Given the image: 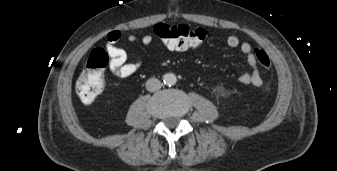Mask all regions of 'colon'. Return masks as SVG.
<instances>
[{
  "label": "colon",
  "mask_w": 337,
  "mask_h": 171,
  "mask_svg": "<svg viewBox=\"0 0 337 171\" xmlns=\"http://www.w3.org/2000/svg\"><path fill=\"white\" fill-rule=\"evenodd\" d=\"M155 35L164 43L170 53H179L182 49L197 47L202 44L207 31L202 27H191L185 24L159 23L153 28ZM259 65L269 70L271 61L265 51L254 50ZM108 65V54L101 48L94 49L76 81V91L84 105L93 104L105 88L104 71Z\"/></svg>",
  "instance_id": "5ec220e1"
}]
</instances>
